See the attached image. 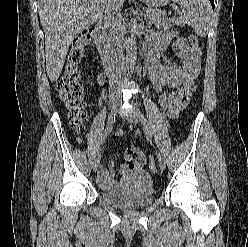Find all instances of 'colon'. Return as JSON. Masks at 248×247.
<instances>
[{"instance_id": "colon-1", "label": "colon", "mask_w": 248, "mask_h": 247, "mask_svg": "<svg viewBox=\"0 0 248 247\" xmlns=\"http://www.w3.org/2000/svg\"><path fill=\"white\" fill-rule=\"evenodd\" d=\"M94 39L93 28L79 35L73 42L68 53L66 64L61 78L56 83V91L59 98L68 110V117L72 128L76 132H82L87 118L86 101L84 96V83L78 71V65L82 59L85 47ZM189 43L198 46V39L190 35ZM159 107L163 113H169V96L166 92L159 95ZM149 168L152 172L157 171L153 156L148 159Z\"/></svg>"}]
</instances>
